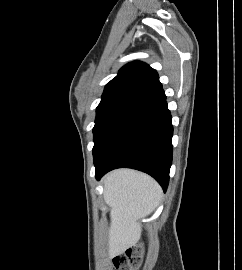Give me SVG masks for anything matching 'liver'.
I'll return each mask as SVG.
<instances>
[{"label": "liver", "instance_id": "6515ba94", "mask_svg": "<svg viewBox=\"0 0 242 270\" xmlns=\"http://www.w3.org/2000/svg\"><path fill=\"white\" fill-rule=\"evenodd\" d=\"M103 184L104 200L111 207L110 250L121 252L139 241V220L160 204L162 190L150 176L130 169L111 171L103 178Z\"/></svg>", "mask_w": 242, "mask_h": 270}]
</instances>
